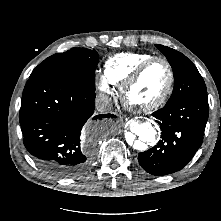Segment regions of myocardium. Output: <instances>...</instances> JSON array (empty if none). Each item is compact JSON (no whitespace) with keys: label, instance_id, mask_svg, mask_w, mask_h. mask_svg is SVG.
<instances>
[{"label":"myocardium","instance_id":"f54148a6","mask_svg":"<svg viewBox=\"0 0 221 221\" xmlns=\"http://www.w3.org/2000/svg\"><path fill=\"white\" fill-rule=\"evenodd\" d=\"M156 62L163 63L168 71V84L166 86V89L157 99H155L154 101L148 104L138 105L133 103L129 99L130 90L141 78V76L145 73V71ZM174 83H175V75L170 62L163 57L155 56L144 61L141 65H139L136 68V70L123 82V84L120 87V97L124 106L132 111L138 113L152 112L160 108L168 100V98L173 92Z\"/></svg>","mask_w":221,"mask_h":221}]
</instances>
